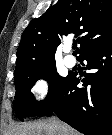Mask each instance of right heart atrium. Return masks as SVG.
I'll use <instances>...</instances> for the list:
<instances>
[{"label": "right heart atrium", "instance_id": "right-heart-atrium-1", "mask_svg": "<svg viewBox=\"0 0 112 135\" xmlns=\"http://www.w3.org/2000/svg\"><path fill=\"white\" fill-rule=\"evenodd\" d=\"M49 92V84L46 79L38 78L30 88V97L35 102L43 101Z\"/></svg>", "mask_w": 112, "mask_h": 135}]
</instances>
